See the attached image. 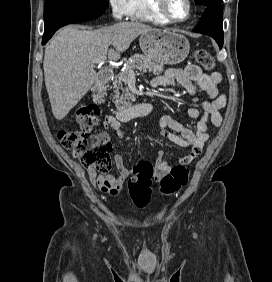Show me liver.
Here are the masks:
<instances>
[{"instance_id": "1", "label": "liver", "mask_w": 272, "mask_h": 282, "mask_svg": "<svg viewBox=\"0 0 272 282\" xmlns=\"http://www.w3.org/2000/svg\"><path fill=\"white\" fill-rule=\"evenodd\" d=\"M149 25L118 22L93 31L66 26L45 49V85L54 117L62 120L92 87L96 72L93 65L102 56L118 60L132 41L150 31ZM113 45L114 49H109Z\"/></svg>"}]
</instances>
